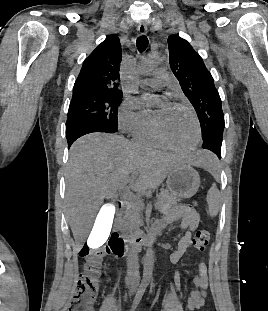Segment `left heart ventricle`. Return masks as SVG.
Returning <instances> with one entry per match:
<instances>
[{
  "instance_id": "b2bd125f",
  "label": "left heart ventricle",
  "mask_w": 268,
  "mask_h": 311,
  "mask_svg": "<svg viewBox=\"0 0 268 311\" xmlns=\"http://www.w3.org/2000/svg\"><path fill=\"white\" fill-rule=\"evenodd\" d=\"M162 135L178 147L190 146L196 137V128L191 115L171 104H162L154 112Z\"/></svg>"
}]
</instances>
